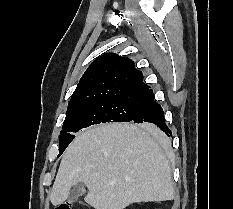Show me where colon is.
<instances>
[{
  "label": "colon",
  "instance_id": "5ec220e1",
  "mask_svg": "<svg viewBox=\"0 0 233 209\" xmlns=\"http://www.w3.org/2000/svg\"><path fill=\"white\" fill-rule=\"evenodd\" d=\"M55 209H71V205L69 203H61Z\"/></svg>",
  "mask_w": 233,
  "mask_h": 209
}]
</instances>
